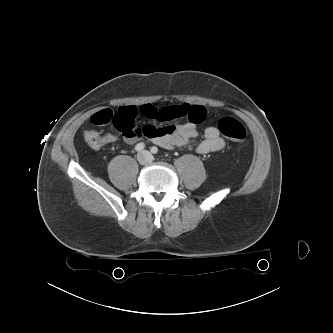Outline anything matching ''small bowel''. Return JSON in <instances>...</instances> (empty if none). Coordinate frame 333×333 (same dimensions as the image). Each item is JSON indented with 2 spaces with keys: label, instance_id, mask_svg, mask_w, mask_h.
<instances>
[{
  "label": "small bowel",
  "instance_id": "1",
  "mask_svg": "<svg viewBox=\"0 0 333 333\" xmlns=\"http://www.w3.org/2000/svg\"><path fill=\"white\" fill-rule=\"evenodd\" d=\"M137 110V108H135ZM140 112L157 124H147L120 131L123 139L129 144H134L142 139H147L165 149L188 146L192 140L198 137L197 124L202 123L207 111L203 106L182 104L157 109L152 105H143ZM186 120L181 124H174L176 120ZM93 123V116L91 117ZM106 144L114 142L116 136L107 134ZM226 143L220 136L216 127H208L204 130L203 138L198 143L196 150L199 154H208L224 149Z\"/></svg>",
  "mask_w": 333,
  "mask_h": 333
}]
</instances>
